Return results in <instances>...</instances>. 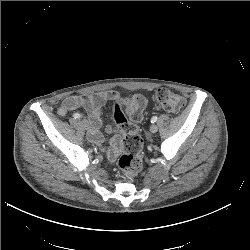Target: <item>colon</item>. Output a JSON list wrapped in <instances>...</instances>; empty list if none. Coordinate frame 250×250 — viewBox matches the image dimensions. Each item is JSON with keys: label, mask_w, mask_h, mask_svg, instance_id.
Segmentation results:
<instances>
[{"label": "colon", "mask_w": 250, "mask_h": 250, "mask_svg": "<svg viewBox=\"0 0 250 250\" xmlns=\"http://www.w3.org/2000/svg\"><path fill=\"white\" fill-rule=\"evenodd\" d=\"M160 108L169 113H178L185 105V100L179 94L159 89L153 96ZM145 99L135 94L122 104L120 100L114 101L113 121L121 135L119 146L122 154L118 165L125 179H133L142 169V139L137 131L136 122L141 119V112Z\"/></svg>", "instance_id": "obj_1"}]
</instances>
